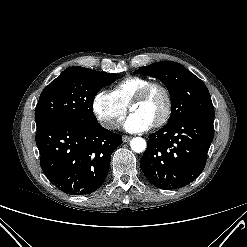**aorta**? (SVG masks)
<instances>
[{"label":"aorta","instance_id":"aorta-1","mask_svg":"<svg viewBox=\"0 0 247 247\" xmlns=\"http://www.w3.org/2000/svg\"><path fill=\"white\" fill-rule=\"evenodd\" d=\"M131 149L136 153H141L146 149V141L141 137L133 138L130 142Z\"/></svg>","mask_w":247,"mask_h":247}]
</instances>
